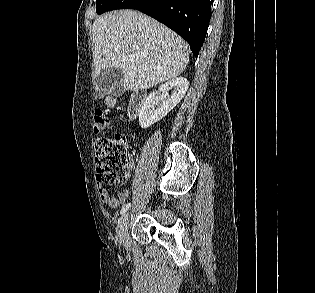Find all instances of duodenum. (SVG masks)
Instances as JSON below:
<instances>
[{"instance_id":"410a0bca","label":"duodenum","mask_w":315,"mask_h":293,"mask_svg":"<svg viewBox=\"0 0 315 293\" xmlns=\"http://www.w3.org/2000/svg\"><path fill=\"white\" fill-rule=\"evenodd\" d=\"M146 98V92L143 90L135 91L129 100L128 104V116L131 119H134L138 116L142 105Z\"/></svg>"}]
</instances>
